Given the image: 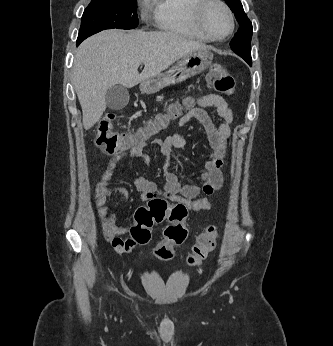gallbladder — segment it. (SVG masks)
<instances>
[{
  "label": "gallbladder",
  "instance_id": "bac80fb5",
  "mask_svg": "<svg viewBox=\"0 0 333 346\" xmlns=\"http://www.w3.org/2000/svg\"><path fill=\"white\" fill-rule=\"evenodd\" d=\"M106 105L112 110H121L129 102L128 89L122 85L110 87L105 95Z\"/></svg>",
  "mask_w": 333,
  "mask_h": 346
}]
</instances>
